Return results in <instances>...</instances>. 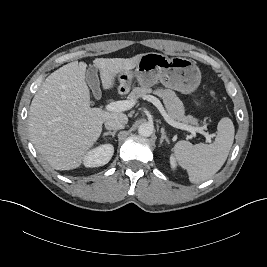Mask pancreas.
<instances>
[{"label":"pancreas","instance_id":"obj_1","mask_svg":"<svg viewBox=\"0 0 267 267\" xmlns=\"http://www.w3.org/2000/svg\"><path fill=\"white\" fill-rule=\"evenodd\" d=\"M150 93H154L162 98L167 107L168 114L172 119L187 125L198 124V120L196 118L192 117L191 115L185 116L184 105L182 101L177 97L175 92L170 89L157 88L153 91L151 88L147 87H136L129 94V99L136 101L139 98H144Z\"/></svg>","mask_w":267,"mask_h":267}]
</instances>
